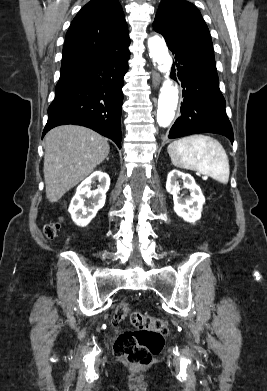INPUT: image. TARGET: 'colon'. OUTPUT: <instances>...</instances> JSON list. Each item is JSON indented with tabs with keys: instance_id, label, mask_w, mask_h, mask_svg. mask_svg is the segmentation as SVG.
<instances>
[{
	"instance_id": "colon-1",
	"label": "colon",
	"mask_w": 267,
	"mask_h": 391,
	"mask_svg": "<svg viewBox=\"0 0 267 391\" xmlns=\"http://www.w3.org/2000/svg\"><path fill=\"white\" fill-rule=\"evenodd\" d=\"M58 224L50 223L44 227L47 239L57 235ZM129 318L135 330L122 332L115 341L114 353L133 366H146L153 357L161 352L168 331L167 323L145 312L133 310L127 302L120 303L114 314V321L121 322Z\"/></svg>"
}]
</instances>
